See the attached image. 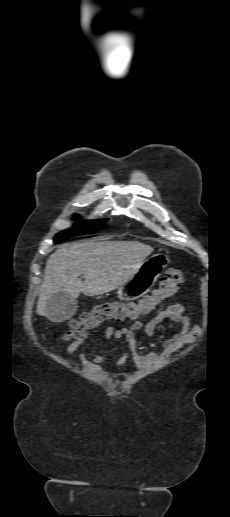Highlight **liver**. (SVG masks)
Instances as JSON below:
<instances>
[{
  "instance_id": "1",
  "label": "liver",
  "mask_w": 230,
  "mask_h": 517,
  "mask_svg": "<svg viewBox=\"0 0 230 517\" xmlns=\"http://www.w3.org/2000/svg\"><path fill=\"white\" fill-rule=\"evenodd\" d=\"M152 252L151 246L136 241L65 244L47 260L37 314L47 317L46 303L57 292L76 299L80 293L95 296L115 290L128 282ZM82 274L84 282L79 279Z\"/></svg>"
}]
</instances>
